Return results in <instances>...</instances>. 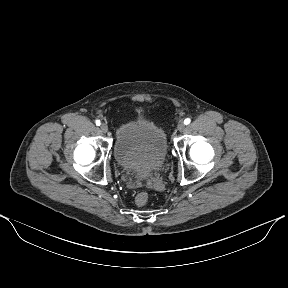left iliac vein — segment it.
Instances as JSON below:
<instances>
[{
	"instance_id": "obj_1",
	"label": "left iliac vein",
	"mask_w": 288,
	"mask_h": 288,
	"mask_svg": "<svg viewBox=\"0 0 288 288\" xmlns=\"http://www.w3.org/2000/svg\"><path fill=\"white\" fill-rule=\"evenodd\" d=\"M177 129H178L180 132L184 131V129H185V124H184L183 121H180V122L178 123Z\"/></svg>"
}]
</instances>
